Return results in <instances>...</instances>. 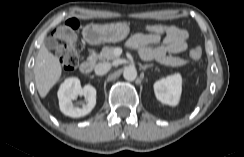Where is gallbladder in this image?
Here are the masks:
<instances>
[{
  "instance_id": "1",
  "label": "gallbladder",
  "mask_w": 244,
  "mask_h": 157,
  "mask_svg": "<svg viewBox=\"0 0 244 157\" xmlns=\"http://www.w3.org/2000/svg\"><path fill=\"white\" fill-rule=\"evenodd\" d=\"M45 44L50 49H56L57 48V41L54 38L48 37L45 40Z\"/></svg>"
}]
</instances>
